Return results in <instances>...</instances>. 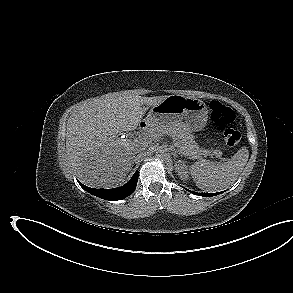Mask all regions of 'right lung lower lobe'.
I'll return each instance as SVG.
<instances>
[{
	"label": "right lung lower lobe",
	"instance_id": "1",
	"mask_svg": "<svg viewBox=\"0 0 293 293\" xmlns=\"http://www.w3.org/2000/svg\"><path fill=\"white\" fill-rule=\"evenodd\" d=\"M138 179V171L134 173L132 178L125 185L114 189H94L87 187L79 182L81 187L89 193L105 200H120L133 193L136 188Z\"/></svg>",
	"mask_w": 293,
	"mask_h": 293
}]
</instances>
